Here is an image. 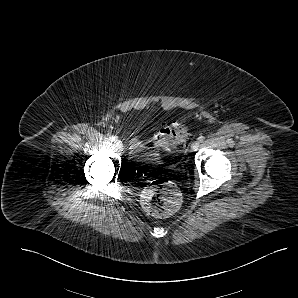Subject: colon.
<instances>
[{"label": "colon", "mask_w": 298, "mask_h": 298, "mask_svg": "<svg viewBox=\"0 0 298 298\" xmlns=\"http://www.w3.org/2000/svg\"><path fill=\"white\" fill-rule=\"evenodd\" d=\"M186 136L185 126L176 122L162 127L154 136V144L157 148L168 150L183 143ZM141 202L149 215L165 217L180 208L182 197L174 183L167 179H158L143 190Z\"/></svg>", "instance_id": "5ec220e1"}]
</instances>
